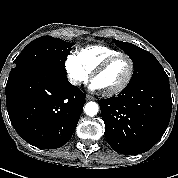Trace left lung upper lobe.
Here are the masks:
<instances>
[{
  "instance_id": "5c2ea615",
  "label": "left lung upper lobe",
  "mask_w": 178,
  "mask_h": 178,
  "mask_svg": "<svg viewBox=\"0 0 178 178\" xmlns=\"http://www.w3.org/2000/svg\"><path fill=\"white\" fill-rule=\"evenodd\" d=\"M113 41L133 61L134 72L128 86L144 80L168 77L161 64L150 52L131 43L118 41L116 39Z\"/></svg>"
}]
</instances>
